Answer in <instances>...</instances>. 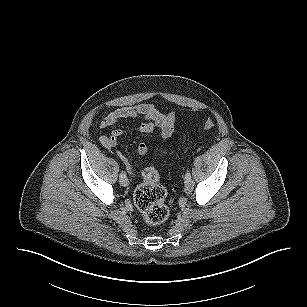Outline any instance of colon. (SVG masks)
<instances>
[{"instance_id": "obj_1", "label": "colon", "mask_w": 307, "mask_h": 307, "mask_svg": "<svg viewBox=\"0 0 307 307\" xmlns=\"http://www.w3.org/2000/svg\"><path fill=\"white\" fill-rule=\"evenodd\" d=\"M214 125V121L209 118L204 122L203 127L205 130H211ZM142 178V183L134 192L135 206L147 224L160 225L170 215V208L166 203V190L160 183L159 173L154 167L145 168Z\"/></svg>"}]
</instances>
